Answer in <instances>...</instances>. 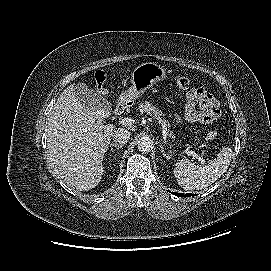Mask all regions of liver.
I'll list each match as a JSON object with an SVG mask.
<instances>
[{
	"instance_id": "liver-1",
	"label": "liver",
	"mask_w": 271,
	"mask_h": 271,
	"mask_svg": "<svg viewBox=\"0 0 271 271\" xmlns=\"http://www.w3.org/2000/svg\"><path fill=\"white\" fill-rule=\"evenodd\" d=\"M115 126L79 102L75 86L58 97L48 122V160L55 174L68 186L87 191L103 175V157Z\"/></svg>"
}]
</instances>
